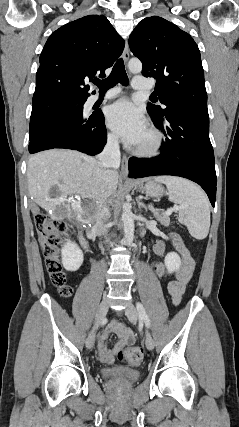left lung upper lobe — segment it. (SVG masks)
<instances>
[{"label": "left lung upper lobe", "mask_w": 239, "mask_h": 427, "mask_svg": "<svg viewBox=\"0 0 239 427\" xmlns=\"http://www.w3.org/2000/svg\"><path fill=\"white\" fill-rule=\"evenodd\" d=\"M129 46L142 61V74L157 80L158 99L166 105L162 109L149 103L150 116L161 120L175 110L208 116L200 51L188 33L153 16L139 22L129 37Z\"/></svg>", "instance_id": "1"}]
</instances>
